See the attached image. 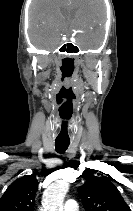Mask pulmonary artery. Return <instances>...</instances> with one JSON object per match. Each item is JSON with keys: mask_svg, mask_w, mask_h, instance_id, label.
Segmentation results:
<instances>
[{"mask_svg": "<svg viewBox=\"0 0 133 211\" xmlns=\"http://www.w3.org/2000/svg\"><path fill=\"white\" fill-rule=\"evenodd\" d=\"M63 211H78V205L75 200H67L64 204Z\"/></svg>", "mask_w": 133, "mask_h": 211, "instance_id": "1", "label": "pulmonary artery"}]
</instances>
